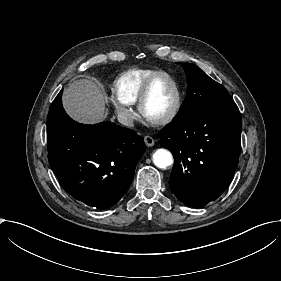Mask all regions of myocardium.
<instances>
[{"instance_id":"1","label":"myocardium","mask_w":281,"mask_h":281,"mask_svg":"<svg viewBox=\"0 0 281 281\" xmlns=\"http://www.w3.org/2000/svg\"><path fill=\"white\" fill-rule=\"evenodd\" d=\"M161 80H168L172 84L174 89V102L170 113L166 117L160 119H154L149 117L145 113L144 105L146 101L149 99L155 85ZM180 108H181L180 86L177 80L174 78V76H172L169 73H163V74L152 76L144 85L142 92L140 93L139 98L137 100V109L140 116L148 123L156 126H162L171 123L177 117Z\"/></svg>"}]
</instances>
